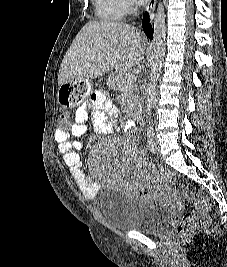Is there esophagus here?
Masks as SVG:
<instances>
[{"mask_svg":"<svg viewBox=\"0 0 227 267\" xmlns=\"http://www.w3.org/2000/svg\"><path fill=\"white\" fill-rule=\"evenodd\" d=\"M157 0H149L148 6H147V11L149 14H152L155 10Z\"/></svg>","mask_w":227,"mask_h":267,"instance_id":"1","label":"esophagus"}]
</instances>
